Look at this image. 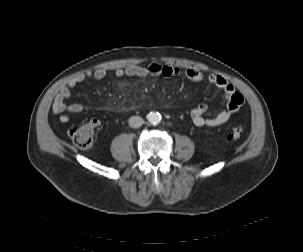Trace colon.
Instances as JSON below:
<instances>
[{
  "label": "colon",
  "mask_w": 303,
  "mask_h": 252,
  "mask_svg": "<svg viewBox=\"0 0 303 252\" xmlns=\"http://www.w3.org/2000/svg\"><path fill=\"white\" fill-rule=\"evenodd\" d=\"M245 132V128L242 125L233 126L231 129V136L238 138ZM73 143L79 148H89L93 146L97 139L96 124L89 122L83 124L80 127L74 128L69 133Z\"/></svg>",
  "instance_id": "5ec220e1"
}]
</instances>
